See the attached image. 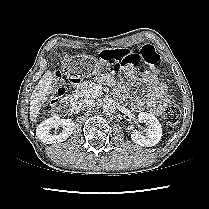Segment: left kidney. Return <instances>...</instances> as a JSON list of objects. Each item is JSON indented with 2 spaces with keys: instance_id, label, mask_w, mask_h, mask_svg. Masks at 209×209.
<instances>
[{
  "instance_id": "5707ae66",
  "label": "left kidney",
  "mask_w": 209,
  "mask_h": 209,
  "mask_svg": "<svg viewBox=\"0 0 209 209\" xmlns=\"http://www.w3.org/2000/svg\"><path fill=\"white\" fill-rule=\"evenodd\" d=\"M138 120L147 125L146 136L134 131L131 133V139L138 145L145 147L159 143L162 137V128L158 119L150 113L142 112L138 114Z\"/></svg>"
}]
</instances>
